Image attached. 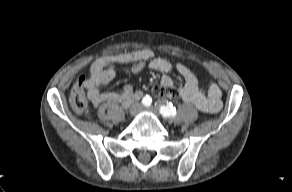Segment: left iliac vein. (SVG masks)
Returning <instances> with one entry per match:
<instances>
[{
  "label": "left iliac vein",
  "mask_w": 292,
  "mask_h": 192,
  "mask_svg": "<svg viewBox=\"0 0 292 192\" xmlns=\"http://www.w3.org/2000/svg\"><path fill=\"white\" fill-rule=\"evenodd\" d=\"M145 110H146V111H149V112H151V113H154V114H156V115H158V113H159V110H158L157 107H148V108H145Z\"/></svg>",
  "instance_id": "obj_1"
}]
</instances>
